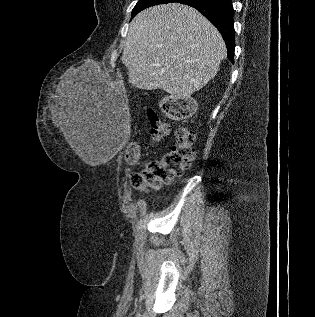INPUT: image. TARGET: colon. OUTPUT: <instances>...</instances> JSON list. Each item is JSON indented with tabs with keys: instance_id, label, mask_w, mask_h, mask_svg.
Wrapping results in <instances>:
<instances>
[{
	"instance_id": "colon-1",
	"label": "colon",
	"mask_w": 315,
	"mask_h": 317,
	"mask_svg": "<svg viewBox=\"0 0 315 317\" xmlns=\"http://www.w3.org/2000/svg\"><path fill=\"white\" fill-rule=\"evenodd\" d=\"M163 109L167 115L176 119H186L192 112L194 105L189 99H167L163 102ZM151 125V137L155 143H160L168 133L167 124L153 110L148 111ZM194 133L182 126L176 131V143L172 149L160 159L150 161L143 169L134 173L131 183L135 189H159L179 177L189 167L194 158ZM141 159V150L137 144H131L126 149V160L135 164Z\"/></svg>"
}]
</instances>
